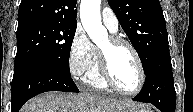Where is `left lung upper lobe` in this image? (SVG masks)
<instances>
[{"instance_id":"1","label":"left lung upper lobe","mask_w":193,"mask_h":112,"mask_svg":"<svg viewBox=\"0 0 193 112\" xmlns=\"http://www.w3.org/2000/svg\"><path fill=\"white\" fill-rule=\"evenodd\" d=\"M119 23L136 49L144 72L168 45V34L159 0H108Z\"/></svg>"}]
</instances>
